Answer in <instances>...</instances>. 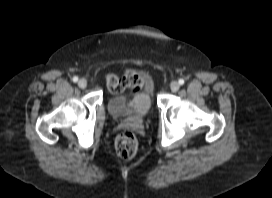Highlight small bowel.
<instances>
[{
	"label": "small bowel",
	"mask_w": 272,
	"mask_h": 198,
	"mask_svg": "<svg viewBox=\"0 0 272 198\" xmlns=\"http://www.w3.org/2000/svg\"><path fill=\"white\" fill-rule=\"evenodd\" d=\"M149 79L143 72L129 69L125 72L123 78L111 76L108 79V87L115 93H120L125 89H129L130 94L137 95L147 87H149Z\"/></svg>",
	"instance_id": "obj_1"
}]
</instances>
